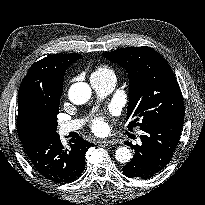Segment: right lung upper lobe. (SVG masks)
I'll return each instance as SVG.
<instances>
[{"mask_svg":"<svg viewBox=\"0 0 205 205\" xmlns=\"http://www.w3.org/2000/svg\"><path fill=\"white\" fill-rule=\"evenodd\" d=\"M80 57V54L51 55L30 67L18 93L17 132L21 142L50 134L48 127L31 113V104L60 98L64 73Z\"/></svg>","mask_w":205,"mask_h":205,"instance_id":"1","label":"right lung upper lobe"}]
</instances>
